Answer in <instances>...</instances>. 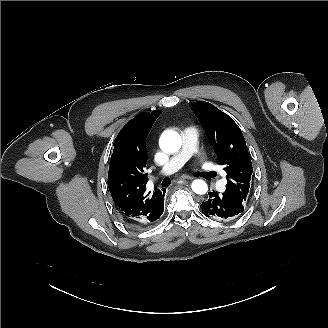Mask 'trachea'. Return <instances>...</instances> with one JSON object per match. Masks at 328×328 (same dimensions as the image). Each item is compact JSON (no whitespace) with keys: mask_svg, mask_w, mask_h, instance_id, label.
I'll return each instance as SVG.
<instances>
[{"mask_svg":"<svg viewBox=\"0 0 328 328\" xmlns=\"http://www.w3.org/2000/svg\"><path fill=\"white\" fill-rule=\"evenodd\" d=\"M170 183H171L170 178H165V179L163 180V182H162V185H163L164 187H167Z\"/></svg>","mask_w":328,"mask_h":328,"instance_id":"3493384b","label":"trachea"}]
</instances>
